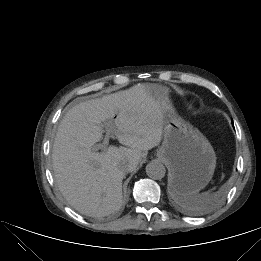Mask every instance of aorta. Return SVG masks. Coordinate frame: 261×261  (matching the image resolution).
<instances>
[{
    "mask_svg": "<svg viewBox=\"0 0 261 261\" xmlns=\"http://www.w3.org/2000/svg\"><path fill=\"white\" fill-rule=\"evenodd\" d=\"M166 168L165 166L157 161H152L146 166V174L148 177L154 180H160L165 176Z\"/></svg>",
    "mask_w": 261,
    "mask_h": 261,
    "instance_id": "1",
    "label": "aorta"
}]
</instances>
